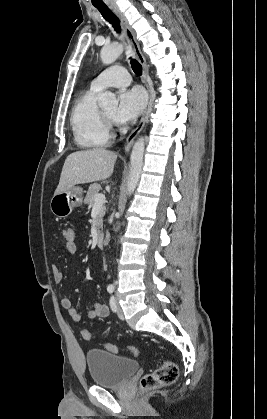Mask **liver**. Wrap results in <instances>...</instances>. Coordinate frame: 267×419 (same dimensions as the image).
Instances as JSON below:
<instances>
[{
  "mask_svg": "<svg viewBox=\"0 0 267 419\" xmlns=\"http://www.w3.org/2000/svg\"><path fill=\"white\" fill-rule=\"evenodd\" d=\"M117 154L105 148H93L67 156L55 194L62 193L76 184H85L109 178Z\"/></svg>",
  "mask_w": 267,
  "mask_h": 419,
  "instance_id": "1",
  "label": "liver"
}]
</instances>
